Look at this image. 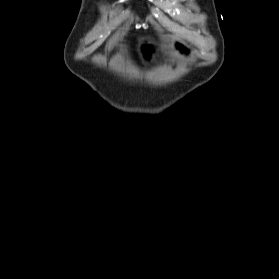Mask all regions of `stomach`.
<instances>
[{"mask_svg": "<svg viewBox=\"0 0 279 279\" xmlns=\"http://www.w3.org/2000/svg\"><path fill=\"white\" fill-rule=\"evenodd\" d=\"M136 39H131V44H152L155 43L153 38H160V35L153 34H136ZM169 43H175V40H169ZM140 48V45H136ZM133 55H156V50H133ZM157 55H166V50H157Z\"/></svg>", "mask_w": 279, "mask_h": 279, "instance_id": "1", "label": "stomach"}]
</instances>
